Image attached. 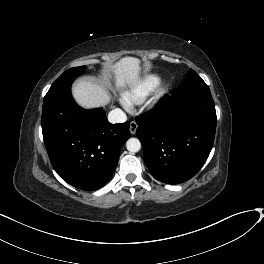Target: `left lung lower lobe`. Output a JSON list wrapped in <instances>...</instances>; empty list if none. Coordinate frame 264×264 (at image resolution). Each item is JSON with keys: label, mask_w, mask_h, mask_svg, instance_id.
Instances as JSON below:
<instances>
[{"label": "left lung lower lobe", "mask_w": 264, "mask_h": 264, "mask_svg": "<svg viewBox=\"0 0 264 264\" xmlns=\"http://www.w3.org/2000/svg\"><path fill=\"white\" fill-rule=\"evenodd\" d=\"M216 121L206 84L173 90L155 110L137 117L136 133L151 174L167 184L192 178L210 154Z\"/></svg>", "instance_id": "1"}]
</instances>
